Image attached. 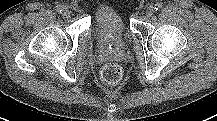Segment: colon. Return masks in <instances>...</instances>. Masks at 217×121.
Returning <instances> with one entry per match:
<instances>
[{
	"mask_svg": "<svg viewBox=\"0 0 217 121\" xmlns=\"http://www.w3.org/2000/svg\"><path fill=\"white\" fill-rule=\"evenodd\" d=\"M100 76L105 84L114 85L122 79L123 69L117 63H108L102 67Z\"/></svg>",
	"mask_w": 217,
	"mask_h": 121,
	"instance_id": "5ec220e1",
	"label": "colon"
}]
</instances>
